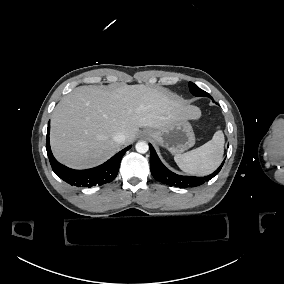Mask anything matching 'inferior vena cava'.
Wrapping results in <instances>:
<instances>
[{"mask_svg": "<svg viewBox=\"0 0 284 284\" xmlns=\"http://www.w3.org/2000/svg\"><path fill=\"white\" fill-rule=\"evenodd\" d=\"M113 140L119 144H122L125 142V135L123 133H117L114 135Z\"/></svg>", "mask_w": 284, "mask_h": 284, "instance_id": "obj_1", "label": "inferior vena cava"}]
</instances>
